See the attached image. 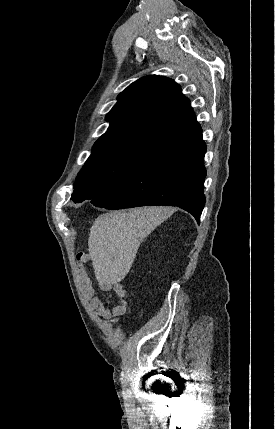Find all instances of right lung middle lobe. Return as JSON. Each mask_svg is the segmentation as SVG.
I'll list each match as a JSON object with an SVG mask.
<instances>
[{"mask_svg":"<svg viewBox=\"0 0 275 429\" xmlns=\"http://www.w3.org/2000/svg\"><path fill=\"white\" fill-rule=\"evenodd\" d=\"M148 158L126 149L91 154L78 174L71 200H92L110 191L133 174Z\"/></svg>","mask_w":275,"mask_h":429,"instance_id":"dd1d6c3e","label":"right lung middle lobe"}]
</instances>
